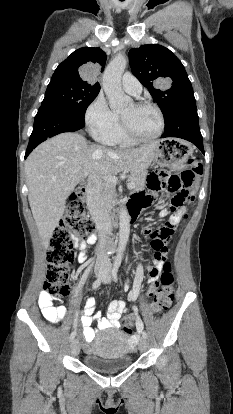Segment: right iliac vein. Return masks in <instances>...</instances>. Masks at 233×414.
<instances>
[{"label":"right iliac vein","mask_w":233,"mask_h":414,"mask_svg":"<svg viewBox=\"0 0 233 414\" xmlns=\"http://www.w3.org/2000/svg\"><path fill=\"white\" fill-rule=\"evenodd\" d=\"M95 274H96L97 277H100L103 274V270L102 269H97L95 271ZM79 351H80V346H79L78 341L76 339L72 340V342L70 344L71 354L75 356L79 353Z\"/></svg>","instance_id":"obj_1"}]
</instances>
